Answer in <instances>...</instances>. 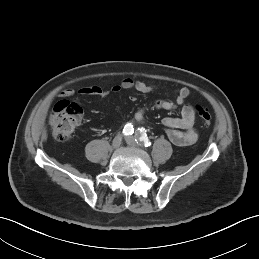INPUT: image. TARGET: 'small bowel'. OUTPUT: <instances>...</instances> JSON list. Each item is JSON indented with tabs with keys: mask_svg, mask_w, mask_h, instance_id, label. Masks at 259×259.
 I'll list each match as a JSON object with an SVG mask.
<instances>
[{
	"mask_svg": "<svg viewBox=\"0 0 259 259\" xmlns=\"http://www.w3.org/2000/svg\"><path fill=\"white\" fill-rule=\"evenodd\" d=\"M159 87L153 84L146 83L132 78H125L119 84L113 86L110 90L100 86H84L75 90L66 88L59 92L62 97H71L75 94L80 96H98L105 98L109 93H119L123 90H136L140 93L150 94L155 92ZM175 95L174 100H158L155 104L157 109L164 111H172L178 106H182L181 114L178 117H166L163 123L166 127V133L169 140L176 146L185 147L192 145L198 138L196 129V113L195 109L190 104H185L186 99L191 95V91L187 87H179L173 90ZM145 117V111L139 109L135 112L134 118L137 122H142Z\"/></svg>",
	"mask_w": 259,
	"mask_h": 259,
	"instance_id": "c3829d8e",
	"label": "small bowel"
}]
</instances>
